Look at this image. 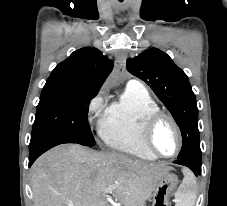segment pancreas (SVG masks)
I'll list each match as a JSON object with an SVG mask.
<instances>
[{"label":"pancreas","instance_id":"1","mask_svg":"<svg viewBox=\"0 0 227 206\" xmlns=\"http://www.w3.org/2000/svg\"><path fill=\"white\" fill-rule=\"evenodd\" d=\"M135 206H145V205L141 203V204H139V205H135Z\"/></svg>","mask_w":227,"mask_h":206}]
</instances>
